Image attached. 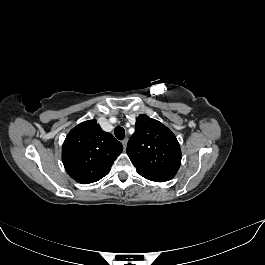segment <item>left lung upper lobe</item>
Segmentation results:
<instances>
[{
	"instance_id": "left-lung-upper-lobe-1",
	"label": "left lung upper lobe",
	"mask_w": 265,
	"mask_h": 265,
	"mask_svg": "<svg viewBox=\"0 0 265 265\" xmlns=\"http://www.w3.org/2000/svg\"><path fill=\"white\" fill-rule=\"evenodd\" d=\"M127 154L141 176L156 182L172 179L182 158L179 143L172 131L144 114L136 119Z\"/></svg>"
}]
</instances>
